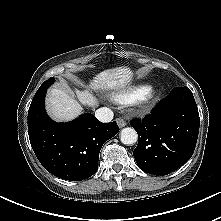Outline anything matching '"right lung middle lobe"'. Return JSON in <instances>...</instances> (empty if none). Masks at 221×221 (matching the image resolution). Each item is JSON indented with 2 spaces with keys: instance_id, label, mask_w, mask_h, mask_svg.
<instances>
[{
  "instance_id": "obj_1",
  "label": "right lung middle lobe",
  "mask_w": 221,
  "mask_h": 221,
  "mask_svg": "<svg viewBox=\"0 0 221 221\" xmlns=\"http://www.w3.org/2000/svg\"><path fill=\"white\" fill-rule=\"evenodd\" d=\"M55 79L51 77L49 80L45 81L38 90L47 89L52 83H54Z\"/></svg>"
}]
</instances>
